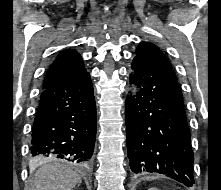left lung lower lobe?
Segmentation results:
<instances>
[{
	"mask_svg": "<svg viewBox=\"0 0 221 190\" xmlns=\"http://www.w3.org/2000/svg\"><path fill=\"white\" fill-rule=\"evenodd\" d=\"M131 68L125 102L131 170L165 174L191 187L194 157L177 79L139 57L133 59Z\"/></svg>",
	"mask_w": 221,
	"mask_h": 190,
	"instance_id": "0a47b994",
	"label": "left lung lower lobe"
}]
</instances>
